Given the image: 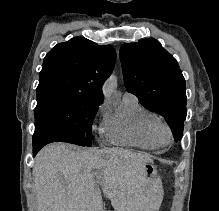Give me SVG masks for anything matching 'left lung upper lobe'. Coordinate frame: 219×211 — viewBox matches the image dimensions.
Returning <instances> with one entry per match:
<instances>
[{
  "label": "left lung upper lobe",
  "instance_id": "left-lung-upper-lobe-1",
  "mask_svg": "<svg viewBox=\"0 0 219 211\" xmlns=\"http://www.w3.org/2000/svg\"><path fill=\"white\" fill-rule=\"evenodd\" d=\"M125 86L147 109L163 116L175 141L186 119L185 79L176 59L153 38L126 43L119 51Z\"/></svg>",
  "mask_w": 219,
  "mask_h": 211
}]
</instances>
